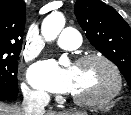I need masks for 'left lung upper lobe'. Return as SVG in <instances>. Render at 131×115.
I'll return each instance as SVG.
<instances>
[{"mask_svg": "<svg viewBox=\"0 0 131 115\" xmlns=\"http://www.w3.org/2000/svg\"><path fill=\"white\" fill-rule=\"evenodd\" d=\"M74 10L90 43L118 66L131 87V29L127 22L100 0H77Z\"/></svg>", "mask_w": 131, "mask_h": 115, "instance_id": "5c2ea615", "label": "left lung upper lobe"}]
</instances>
